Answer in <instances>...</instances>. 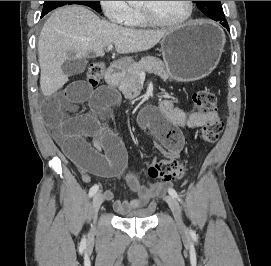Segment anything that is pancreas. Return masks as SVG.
<instances>
[{
  "label": "pancreas",
  "instance_id": "pancreas-1",
  "mask_svg": "<svg viewBox=\"0 0 271 266\" xmlns=\"http://www.w3.org/2000/svg\"><path fill=\"white\" fill-rule=\"evenodd\" d=\"M141 72L155 73L161 77L167 75L165 64L160 59L153 56L141 58L138 62L129 65L120 81L119 88L125 97L133 99L140 94L142 86L139 75Z\"/></svg>",
  "mask_w": 271,
  "mask_h": 266
}]
</instances>
